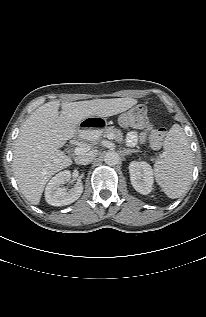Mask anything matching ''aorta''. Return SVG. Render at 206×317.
<instances>
[{
    "label": "aorta",
    "mask_w": 206,
    "mask_h": 317,
    "mask_svg": "<svg viewBox=\"0 0 206 317\" xmlns=\"http://www.w3.org/2000/svg\"><path fill=\"white\" fill-rule=\"evenodd\" d=\"M104 161L109 166L117 165L120 161V156L116 151H108L104 156Z\"/></svg>",
    "instance_id": "obj_1"
}]
</instances>
